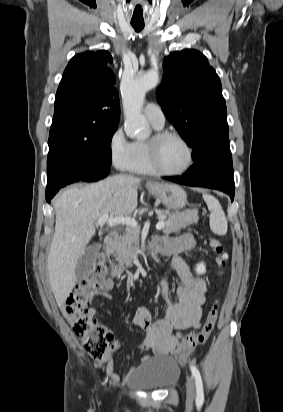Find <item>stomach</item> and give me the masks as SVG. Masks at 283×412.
<instances>
[{
	"instance_id": "obj_1",
	"label": "stomach",
	"mask_w": 283,
	"mask_h": 412,
	"mask_svg": "<svg viewBox=\"0 0 283 412\" xmlns=\"http://www.w3.org/2000/svg\"><path fill=\"white\" fill-rule=\"evenodd\" d=\"M149 191L169 210H178L183 208L187 203L186 192L177 185L156 184L150 187Z\"/></svg>"
}]
</instances>
